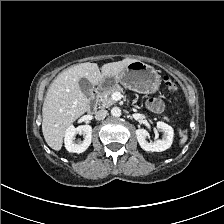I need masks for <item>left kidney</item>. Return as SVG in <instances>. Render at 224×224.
Masks as SVG:
<instances>
[{"label": "left kidney", "mask_w": 224, "mask_h": 224, "mask_svg": "<svg viewBox=\"0 0 224 224\" xmlns=\"http://www.w3.org/2000/svg\"><path fill=\"white\" fill-rule=\"evenodd\" d=\"M157 128L163 132L164 137L162 140H157L153 143H149L146 140V137L149 135L146 129L136 130L138 143L143 150L151 152H162L171 147L174 137L173 128L170 125L160 121L157 122Z\"/></svg>", "instance_id": "obj_1"}]
</instances>
